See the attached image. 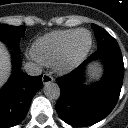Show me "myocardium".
<instances>
[{"mask_svg":"<svg viewBox=\"0 0 128 128\" xmlns=\"http://www.w3.org/2000/svg\"><path fill=\"white\" fill-rule=\"evenodd\" d=\"M80 33H86L88 35L89 41L86 48L79 54H76L74 52V45L76 38ZM92 44H93L92 35L88 30L86 29L77 30L73 35V37L71 38V40L69 41L62 56L55 64L57 72L59 74L66 75L76 70L88 56L92 48Z\"/></svg>","mask_w":128,"mask_h":128,"instance_id":"myocardium-1","label":"myocardium"}]
</instances>
